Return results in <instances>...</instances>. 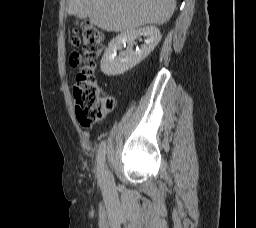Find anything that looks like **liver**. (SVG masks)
<instances>
[{"instance_id": "liver-1", "label": "liver", "mask_w": 256, "mask_h": 228, "mask_svg": "<svg viewBox=\"0 0 256 228\" xmlns=\"http://www.w3.org/2000/svg\"><path fill=\"white\" fill-rule=\"evenodd\" d=\"M176 0H68L67 13L107 32H127L146 24L163 25Z\"/></svg>"}]
</instances>
